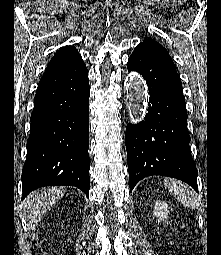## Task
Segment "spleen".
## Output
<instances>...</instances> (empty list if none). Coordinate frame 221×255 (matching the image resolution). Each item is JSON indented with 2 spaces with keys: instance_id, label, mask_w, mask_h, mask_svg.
<instances>
[{
  "instance_id": "1",
  "label": "spleen",
  "mask_w": 221,
  "mask_h": 255,
  "mask_svg": "<svg viewBox=\"0 0 221 255\" xmlns=\"http://www.w3.org/2000/svg\"><path fill=\"white\" fill-rule=\"evenodd\" d=\"M164 183L166 188H168L181 204L191 209L197 208L198 199L196 194L186 184L171 178H166Z\"/></svg>"
}]
</instances>
